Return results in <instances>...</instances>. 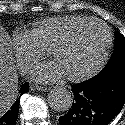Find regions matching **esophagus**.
I'll return each instance as SVG.
<instances>
[{"label":"esophagus","instance_id":"esophagus-1","mask_svg":"<svg viewBox=\"0 0 125 125\" xmlns=\"http://www.w3.org/2000/svg\"><path fill=\"white\" fill-rule=\"evenodd\" d=\"M36 88H37V90H41V91H44V92H46L47 90H49L47 87L40 86V85H36Z\"/></svg>","mask_w":125,"mask_h":125}]
</instances>
